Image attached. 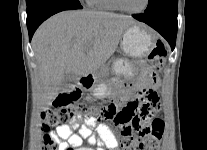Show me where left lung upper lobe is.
<instances>
[{
	"instance_id": "obj_1",
	"label": "left lung upper lobe",
	"mask_w": 207,
	"mask_h": 150,
	"mask_svg": "<svg viewBox=\"0 0 207 150\" xmlns=\"http://www.w3.org/2000/svg\"><path fill=\"white\" fill-rule=\"evenodd\" d=\"M170 1L176 0H149L148 6L144 13L154 12Z\"/></svg>"
}]
</instances>
